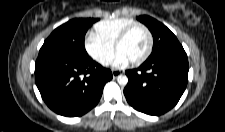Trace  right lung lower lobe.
I'll return each mask as SVG.
<instances>
[{
  "label": "right lung lower lobe",
  "instance_id": "obj_1",
  "mask_svg": "<svg viewBox=\"0 0 225 132\" xmlns=\"http://www.w3.org/2000/svg\"><path fill=\"white\" fill-rule=\"evenodd\" d=\"M109 69L87 56L40 51L35 63L36 85L44 102L57 114L77 117L99 102Z\"/></svg>",
  "mask_w": 225,
  "mask_h": 132
}]
</instances>
